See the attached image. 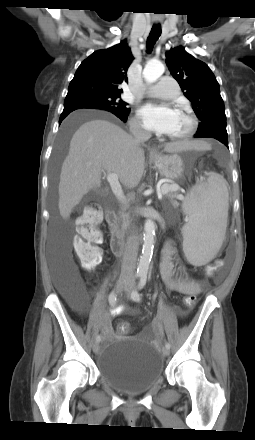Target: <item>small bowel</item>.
Here are the masks:
<instances>
[{"mask_svg":"<svg viewBox=\"0 0 255 440\" xmlns=\"http://www.w3.org/2000/svg\"><path fill=\"white\" fill-rule=\"evenodd\" d=\"M173 255V245L171 241L165 243L162 250L161 275L166 287L174 292L184 295H198L202 292V285L194 280H190L183 276L180 272L179 276H174V265L171 261ZM122 311L121 307L114 310L115 314ZM109 321L106 322L107 330H109Z\"/></svg>","mask_w":255,"mask_h":440,"instance_id":"small-bowel-1","label":"small bowel"}]
</instances>
